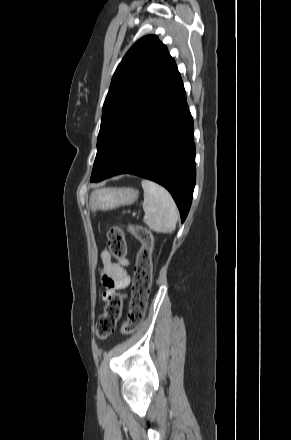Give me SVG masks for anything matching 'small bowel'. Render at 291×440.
<instances>
[{"mask_svg":"<svg viewBox=\"0 0 291 440\" xmlns=\"http://www.w3.org/2000/svg\"><path fill=\"white\" fill-rule=\"evenodd\" d=\"M101 259L102 275L115 279L119 287H127L130 280L126 273L123 271L122 266L128 265V260L121 259L117 262H113L111 260V255L107 250L102 251ZM108 296L109 293L105 294V297Z\"/></svg>","mask_w":291,"mask_h":440,"instance_id":"obj_1","label":"small bowel"}]
</instances>
